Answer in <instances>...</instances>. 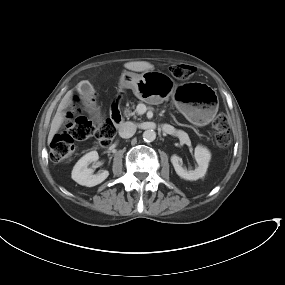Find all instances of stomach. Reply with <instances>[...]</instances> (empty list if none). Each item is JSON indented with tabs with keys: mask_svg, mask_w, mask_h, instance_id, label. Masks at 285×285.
Masks as SVG:
<instances>
[{
	"mask_svg": "<svg viewBox=\"0 0 285 285\" xmlns=\"http://www.w3.org/2000/svg\"><path fill=\"white\" fill-rule=\"evenodd\" d=\"M166 86L176 108L194 125L205 126L216 115V94L201 82L175 85L171 78L161 71H145L135 74L125 71L120 78V87L132 89L135 96L146 103H153L156 92Z\"/></svg>",
	"mask_w": 285,
	"mask_h": 285,
	"instance_id": "obj_1",
	"label": "stomach"
}]
</instances>
